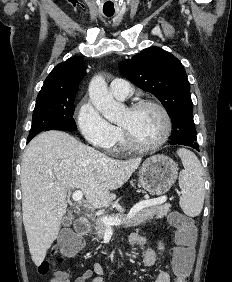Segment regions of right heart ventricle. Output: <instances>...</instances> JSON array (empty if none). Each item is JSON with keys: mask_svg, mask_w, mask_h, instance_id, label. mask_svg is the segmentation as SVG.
I'll list each match as a JSON object with an SVG mask.
<instances>
[{"mask_svg": "<svg viewBox=\"0 0 232 282\" xmlns=\"http://www.w3.org/2000/svg\"><path fill=\"white\" fill-rule=\"evenodd\" d=\"M117 129V141H116V144H118L121 148L125 147V143H124V140H123V137H122V133H121V130L120 128L116 127Z\"/></svg>", "mask_w": 232, "mask_h": 282, "instance_id": "1", "label": "right heart ventricle"}]
</instances>
